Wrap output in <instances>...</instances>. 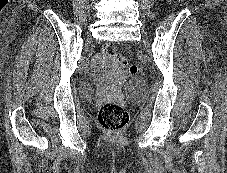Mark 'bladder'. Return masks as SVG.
Listing matches in <instances>:
<instances>
[{
    "mask_svg": "<svg viewBox=\"0 0 227 173\" xmlns=\"http://www.w3.org/2000/svg\"><path fill=\"white\" fill-rule=\"evenodd\" d=\"M144 87L140 80L130 79L124 87L126 96L132 100H136L143 95ZM93 88L89 85H84L81 90L83 98L90 99L93 95Z\"/></svg>",
    "mask_w": 227,
    "mask_h": 173,
    "instance_id": "bladder-1",
    "label": "bladder"
}]
</instances>
